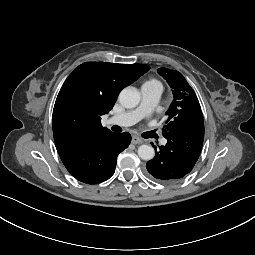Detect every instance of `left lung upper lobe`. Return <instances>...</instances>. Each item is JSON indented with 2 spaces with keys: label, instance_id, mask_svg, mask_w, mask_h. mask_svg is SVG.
<instances>
[{
  "label": "left lung upper lobe",
  "instance_id": "1",
  "mask_svg": "<svg viewBox=\"0 0 255 255\" xmlns=\"http://www.w3.org/2000/svg\"><path fill=\"white\" fill-rule=\"evenodd\" d=\"M158 73L167 80L172 88L173 101L166 111V121L162 130L163 136L172 129L203 119L199 101L181 73L167 68H159Z\"/></svg>",
  "mask_w": 255,
  "mask_h": 255
}]
</instances>
